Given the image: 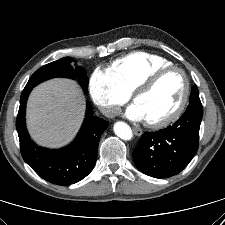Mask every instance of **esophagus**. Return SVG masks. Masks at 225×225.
Listing matches in <instances>:
<instances>
[{
    "label": "esophagus",
    "instance_id": "34e87169",
    "mask_svg": "<svg viewBox=\"0 0 225 225\" xmlns=\"http://www.w3.org/2000/svg\"><path fill=\"white\" fill-rule=\"evenodd\" d=\"M133 132L136 136H141L143 134L142 130L140 128H133Z\"/></svg>",
    "mask_w": 225,
    "mask_h": 225
}]
</instances>
